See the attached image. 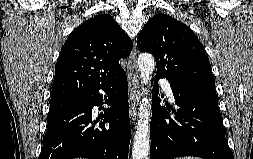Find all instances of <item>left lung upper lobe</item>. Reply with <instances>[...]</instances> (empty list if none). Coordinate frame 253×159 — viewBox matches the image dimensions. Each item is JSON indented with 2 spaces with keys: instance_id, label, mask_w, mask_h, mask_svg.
<instances>
[{
  "instance_id": "1",
  "label": "left lung upper lobe",
  "mask_w": 253,
  "mask_h": 159,
  "mask_svg": "<svg viewBox=\"0 0 253 159\" xmlns=\"http://www.w3.org/2000/svg\"><path fill=\"white\" fill-rule=\"evenodd\" d=\"M137 46L141 52L154 56L156 77H165L171 84L215 90L207 54L182 22L166 14L154 15L138 35Z\"/></svg>"
}]
</instances>
